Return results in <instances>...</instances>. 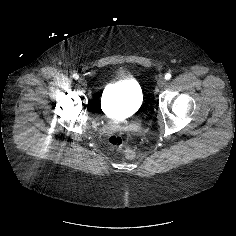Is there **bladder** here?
Segmentation results:
<instances>
[{"label": "bladder", "instance_id": "bladder-1", "mask_svg": "<svg viewBox=\"0 0 236 236\" xmlns=\"http://www.w3.org/2000/svg\"><path fill=\"white\" fill-rule=\"evenodd\" d=\"M143 91L140 84L128 79L108 84L102 93L101 108L112 113L137 112L142 107Z\"/></svg>", "mask_w": 236, "mask_h": 236}]
</instances>
